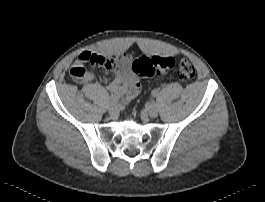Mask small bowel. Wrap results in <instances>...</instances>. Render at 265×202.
<instances>
[{
    "mask_svg": "<svg viewBox=\"0 0 265 202\" xmlns=\"http://www.w3.org/2000/svg\"><path fill=\"white\" fill-rule=\"evenodd\" d=\"M85 64L104 67L113 71L115 79L106 88L113 95L121 97L124 103L131 101L140 93L141 85L138 78L131 72L132 59L128 54L105 55L93 51H84L78 56L75 66ZM83 80L92 82L95 80V75L86 72Z\"/></svg>",
    "mask_w": 265,
    "mask_h": 202,
    "instance_id": "obj_1",
    "label": "small bowel"
}]
</instances>
